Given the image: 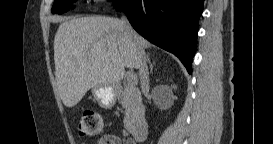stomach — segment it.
<instances>
[{
  "instance_id": "1",
  "label": "stomach",
  "mask_w": 273,
  "mask_h": 144,
  "mask_svg": "<svg viewBox=\"0 0 273 144\" xmlns=\"http://www.w3.org/2000/svg\"><path fill=\"white\" fill-rule=\"evenodd\" d=\"M92 94L100 107L111 109L116 103L118 89L111 86H97L92 89Z\"/></svg>"
}]
</instances>
